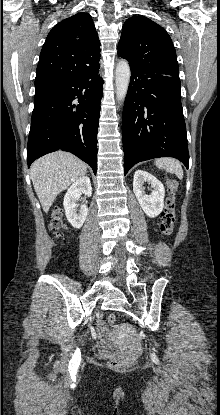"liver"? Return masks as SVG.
<instances>
[{
    "label": "liver",
    "mask_w": 220,
    "mask_h": 415,
    "mask_svg": "<svg viewBox=\"0 0 220 415\" xmlns=\"http://www.w3.org/2000/svg\"><path fill=\"white\" fill-rule=\"evenodd\" d=\"M86 172L87 166L83 161L63 151L36 160L31 166L30 176L43 211L47 213L58 194Z\"/></svg>",
    "instance_id": "liver-1"
}]
</instances>
